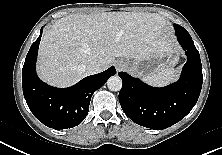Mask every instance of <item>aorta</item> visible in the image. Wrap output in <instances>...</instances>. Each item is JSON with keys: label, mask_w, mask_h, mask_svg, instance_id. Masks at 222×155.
I'll return each instance as SVG.
<instances>
[{"label": "aorta", "mask_w": 222, "mask_h": 155, "mask_svg": "<svg viewBox=\"0 0 222 155\" xmlns=\"http://www.w3.org/2000/svg\"><path fill=\"white\" fill-rule=\"evenodd\" d=\"M107 87L111 91H119L122 88V80L119 76H112L107 80Z\"/></svg>", "instance_id": "762f6f07"}]
</instances>
